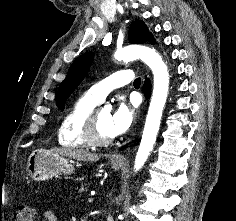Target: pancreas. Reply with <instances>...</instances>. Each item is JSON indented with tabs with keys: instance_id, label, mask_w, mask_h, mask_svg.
<instances>
[{
	"instance_id": "cf45deb5",
	"label": "pancreas",
	"mask_w": 236,
	"mask_h": 221,
	"mask_svg": "<svg viewBox=\"0 0 236 221\" xmlns=\"http://www.w3.org/2000/svg\"><path fill=\"white\" fill-rule=\"evenodd\" d=\"M87 189L86 188H84L83 186L79 189V193L81 194L82 192H84V191H86Z\"/></svg>"
}]
</instances>
